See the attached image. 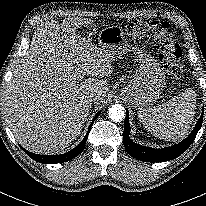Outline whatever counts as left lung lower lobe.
Listing matches in <instances>:
<instances>
[{
  "instance_id": "left-lung-lower-lobe-1",
  "label": "left lung lower lobe",
  "mask_w": 206,
  "mask_h": 206,
  "mask_svg": "<svg viewBox=\"0 0 206 206\" xmlns=\"http://www.w3.org/2000/svg\"><path fill=\"white\" fill-rule=\"evenodd\" d=\"M204 108L202 110V115L197 121V124L191 134L182 142L173 145L168 148L163 149H154L145 147L139 144L134 143L129 138L130 125H129V114L126 113L125 122H124V132H123V141L126 151L130 156L145 162H163L175 159L181 155L194 141L199 129L202 125Z\"/></svg>"
}]
</instances>
